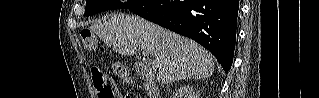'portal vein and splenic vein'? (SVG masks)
<instances>
[{
    "label": "portal vein and splenic vein",
    "instance_id": "obj_1",
    "mask_svg": "<svg viewBox=\"0 0 319 98\" xmlns=\"http://www.w3.org/2000/svg\"><path fill=\"white\" fill-rule=\"evenodd\" d=\"M142 54H143L144 57H148L149 56V52L145 51V50H143Z\"/></svg>",
    "mask_w": 319,
    "mask_h": 98
}]
</instances>
